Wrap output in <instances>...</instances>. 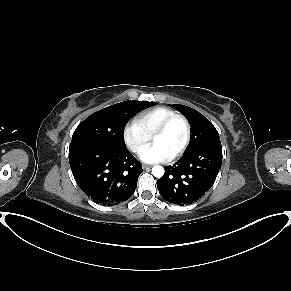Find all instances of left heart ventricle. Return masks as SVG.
I'll return each instance as SVG.
<instances>
[{
    "label": "left heart ventricle",
    "instance_id": "obj_1",
    "mask_svg": "<svg viewBox=\"0 0 291 291\" xmlns=\"http://www.w3.org/2000/svg\"><path fill=\"white\" fill-rule=\"evenodd\" d=\"M185 138L184 124L177 120L169 129L153 138V143L161 145L166 151L173 155L182 145Z\"/></svg>",
    "mask_w": 291,
    "mask_h": 291
}]
</instances>
